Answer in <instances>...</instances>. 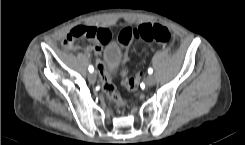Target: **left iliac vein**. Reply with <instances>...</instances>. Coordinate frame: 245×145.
<instances>
[{
	"label": "left iliac vein",
	"mask_w": 245,
	"mask_h": 145,
	"mask_svg": "<svg viewBox=\"0 0 245 145\" xmlns=\"http://www.w3.org/2000/svg\"><path fill=\"white\" fill-rule=\"evenodd\" d=\"M146 84L148 86H153L155 84V77L152 75H149L146 79Z\"/></svg>",
	"instance_id": "4c4485c4"
}]
</instances>
